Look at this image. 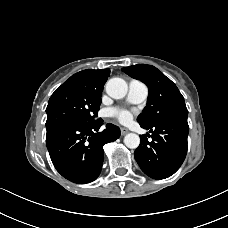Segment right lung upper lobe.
I'll return each mask as SVG.
<instances>
[{
  "label": "right lung upper lobe",
  "instance_id": "1",
  "mask_svg": "<svg viewBox=\"0 0 228 228\" xmlns=\"http://www.w3.org/2000/svg\"><path fill=\"white\" fill-rule=\"evenodd\" d=\"M110 75L109 69L103 70H83L73 76L67 81L77 84L83 89L90 92H102L103 86Z\"/></svg>",
  "mask_w": 228,
  "mask_h": 228
}]
</instances>
